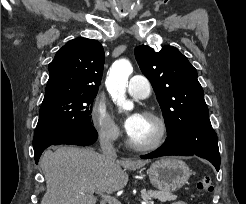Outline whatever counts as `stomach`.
Listing matches in <instances>:
<instances>
[{
  "label": "stomach",
  "mask_w": 246,
  "mask_h": 204,
  "mask_svg": "<svg viewBox=\"0 0 246 204\" xmlns=\"http://www.w3.org/2000/svg\"><path fill=\"white\" fill-rule=\"evenodd\" d=\"M147 173L154 187L169 192L179 190L190 177L187 164L174 157L161 158L155 161Z\"/></svg>",
  "instance_id": "stomach-1"
}]
</instances>
